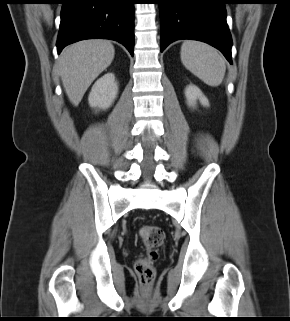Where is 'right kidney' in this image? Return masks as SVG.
Wrapping results in <instances>:
<instances>
[{"label": "right kidney", "mask_w": 290, "mask_h": 321, "mask_svg": "<svg viewBox=\"0 0 290 321\" xmlns=\"http://www.w3.org/2000/svg\"><path fill=\"white\" fill-rule=\"evenodd\" d=\"M117 95L118 83L115 80V75L113 73H106L92 86L88 102L92 108L106 110L113 104Z\"/></svg>", "instance_id": "obj_1"}]
</instances>
